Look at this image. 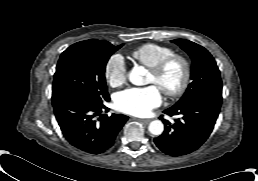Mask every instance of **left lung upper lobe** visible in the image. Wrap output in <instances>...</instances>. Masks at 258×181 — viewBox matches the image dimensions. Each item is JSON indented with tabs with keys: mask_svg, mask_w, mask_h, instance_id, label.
<instances>
[{
	"mask_svg": "<svg viewBox=\"0 0 258 181\" xmlns=\"http://www.w3.org/2000/svg\"><path fill=\"white\" fill-rule=\"evenodd\" d=\"M172 42L185 50L192 59V82L174 106L185 105L209 95L222 97L220 71L212 55L204 47L188 40L175 39Z\"/></svg>",
	"mask_w": 258,
	"mask_h": 181,
	"instance_id": "obj_1",
	"label": "left lung upper lobe"
}]
</instances>
